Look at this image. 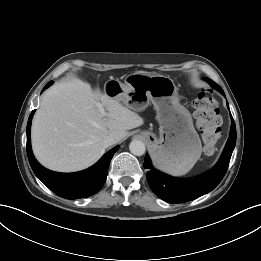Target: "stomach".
<instances>
[{
	"mask_svg": "<svg viewBox=\"0 0 261 261\" xmlns=\"http://www.w3.org/2000/svg\"><path fill=\"white\" fill-rule=\"evenodd\" d=\"M126 79L125 83L115 79L107 81L105 94L133 110L145 109L152 103L159 123V137L141 132L150 144L152 158L164 171L174 175L187 173L200 158L202 145L190 112L179 102L173 80L140 72Z\"/></svg>",
	"mask_w": 261,
	"mask_h": 261,
	"instance_id": "obj_1",
	"label": "stomach"
}]
</instances>
